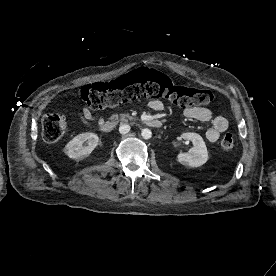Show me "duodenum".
I'll list each match as a JSON object with an SVG mask.
<instances>
[{
	"label": "duodenum",
	"mask_w": 276,
	"mask_h": 276,
	"mask_svg": "<svg viewBox=\"0 0 276 276\" xmlns=\"http://www.w3.org/2000/svg\"><path fill=\"white\" fill-rule=\"evenodd\" d=\"M143 123L149 127H153V128H159L162 126V122L160 120H157V119H145L143 121ZM116 127V122L114 121H106L104 123L101 124V130L104 132V133H110L112 132Z\"/></svg>",
	"instance_id": "1"
}]
</instances>
